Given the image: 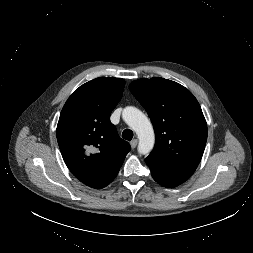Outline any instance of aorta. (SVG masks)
I'll list each match as a JSON object with an SVG mask.
<instances>
[{
	"label": "aorta",
	"instance_id": "aorta-1",
	"mask_svg": "<svg viewBox=\"0 0 253 253\" xmlns=\"http://www.w3.org/2000/svg\"><path fill=\"white\" fill-rule=\"evenodd\" d=\"M122 118L138 136L139 154H149L153 149L155 142L154 130L149 119L143 112L132 106L124 108Z\"/></svg>",
	"mask_w": 253,
	"mask_h": 253
}]
</instances>
